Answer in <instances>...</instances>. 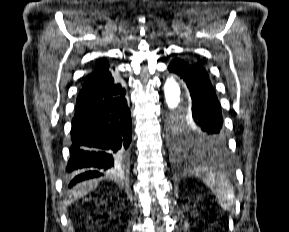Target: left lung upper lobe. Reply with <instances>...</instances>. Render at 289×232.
<instances>
[{
	"label": "left lung upper lobe",
	"instance_id": "1",
	"mask_svg": "<svg viewBox=\"0 0 289 232\" xmlns=\"http://www.w3.org/2000/svg\"><path fill=\"white\" fill-rule=\"evenodd\" d=\"M184 116V119L175 118L171 123V141L175 150L183 152H211L215 151L207 138L193 126Z\"/></svg>",
	"mask_w": 289,
	"mask_h": 232
}]
</instances>
